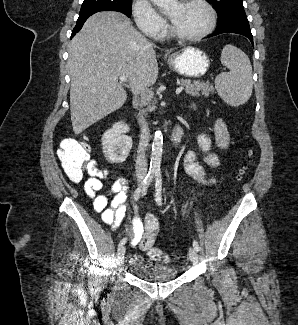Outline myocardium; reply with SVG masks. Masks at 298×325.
Returning a JSON list of instances; mask_svg holds the SVG:
<instances>
[{"label":"myocardium","instance_id":"1","mask_svg":"<svg viewBox=\"0 0 298 325\" xmlns=\"http://www.w3.org/2000/svg\"><path fill=\"white\" fill-rule=\"evenodd\" d=\"M180 1H183V0H180ZM192 1L195 2L197 5H199L204 10L206 17H207L206 25L204 26V28L201 31H199L196 34L183 35L173 29L170 19H169L168 29H167V36L169 38L183 41V42H194V41H199V40L203 39L205 36H207L211 32V30L214 26V17H213L211 8L203 0H192Z\"/></svg>","mask_w":298,"mask_h":325}]
</instances>
